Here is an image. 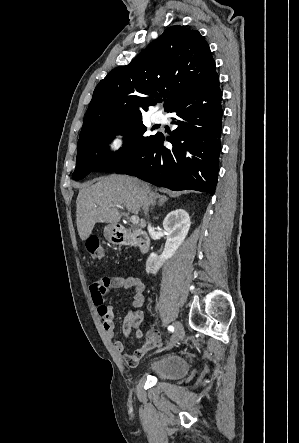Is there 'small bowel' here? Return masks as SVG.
I'll return each instance as SVG.
<instances>
[{
    "mask_svg": "<svg viewBox=\"0 0 299 443\" xmlns=\"http://www.w3.org/2000/svg\"><path fill=\"white\" fill-rule=\"evenodd\" d=\"M119 289L134 290V295L132 298L133 308H140L144 305L145 286L139 277H103L99 280L93 281L89 285L91 300L102 318L103 329L110 339L115 338V325L113 322L114 307L105 303V294L108 291ZM142 320L143 313L141 311H135L134 309H129L127 311L122 323V331L126 338L130 337L133 330H136L137 337L142 336V332L138 329ZM162 345L163 339L160 332L156 329L148 330L145 334L144 343L136 348L132 353H124V343L122 341L115 340L113 342L115 352L122 354L124 362L131 367L135 366L139 359L148 351Z\"/></svg>",
    "mask_w": 299,
    "mask_h": 443,
    "instance_id": "small-bowel-1",
    "label": "small bowel"
}]
</instances>
